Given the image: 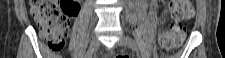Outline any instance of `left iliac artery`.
Returning <instances> with one entry per match:
<instances>
[{
    "label": "left iliac artery",
    "instance_id": "left-iliac-artery-1",
    "mask_svg": "<svg viewBox=\"0 0 225 58\" xmlns=\"http://www.w3.org/2000/svg\"><path fill=\"white\" fill-rule=\"evenodd\" d=\"M129 45H130V48H131V49L137 50L136 43H135V41L132 40L131 38L129 39Z\"/></svg>",
    "mask_w": 225,
    "mask_h": 58
}]
</instances>
